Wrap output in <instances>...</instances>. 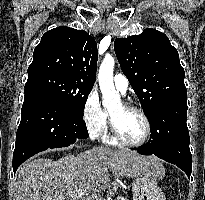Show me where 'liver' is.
<instances>
[{
  "label": "liver",
  "instance_id": "liver-1",
  "mask_svg": "<svg viewBox=\"0 0 205 200\" xmlns=\"http://www.w3.org/2000/svg\"><path fill=\"white\" fill-rule=\"evenodd\" d=\"M158 159L136 152L94 147L58 160L25 162L18 170L15 200H93L110 185L109 171L133 178L139 174L162 177L154 166ZM82 193L71 195V193Z\"/></svg>",
  "mask_w": 205,
  "mask_h": 200
}]
</instances>
